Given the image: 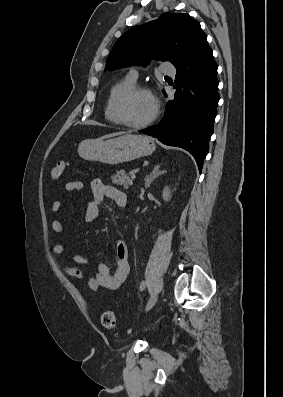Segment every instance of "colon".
<instances>
[{
	"instance_id": "obj_1",
	"label": "colon",
	"mask_w": 283,
	"mask_h": 397,
	"mask_svg": "<svg viewBox=\"0 0 283 397\" xmlns=\"http://www.w3.org/2000/svg\"><path fill=\"white\" fill-rule=\"evenodd\" d=\"M66 165L67 163L63 161L56 163L50 171L51 179H60L64 173ZM101 324L106 329L115 330L117 328V321L114 312L110 310L103 312L101 315Z\"/></svg>"
}]
</instances>
